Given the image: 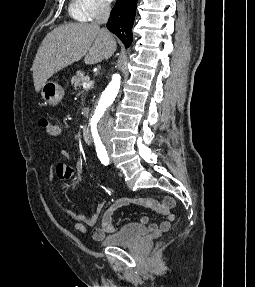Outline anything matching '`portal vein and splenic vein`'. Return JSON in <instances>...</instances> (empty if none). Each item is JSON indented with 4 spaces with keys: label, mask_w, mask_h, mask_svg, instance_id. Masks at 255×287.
Returning a JSON list of instances; mask_svg holds the SVG:
<instances>
[{
    "label": "portal vein and splenic vein",
    "mask_w": 255,
    "mask_h": 287,
    "mask_svg": "<svg viewBox=\"0 0 255 287\" xmlns=\"http://www.w3.org/2000/svg\"><path fill=\"white\" fill-rule=\"evenodd\" d=\"M83 88H90L91 86V82H84V84H82Z\"/></svg>",
    "instance_id": "18ae733b"
}]
</instances>
